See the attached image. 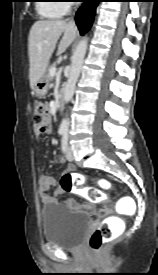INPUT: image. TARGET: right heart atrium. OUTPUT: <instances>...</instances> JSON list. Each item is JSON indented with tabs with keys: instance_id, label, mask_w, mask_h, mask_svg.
<instances>
[{
	"instance_id": "d8ad5b80",
	"label": "right heart atrium",
	"mask_w": 158,
	"mask_h": 275,
	"mask_svg": "<svg viewBox=\"0 0 158 275\" xmlns=\"http://www.w3.org/2000/svg\"><path fill=\"white\" fill-rule=\"evenodd\" d=\"M60 3L61 6L64 7V11L67 12L69 10L70 5L72 4V2H74V0H61Z\"/></svg>"
}]
</instances>
